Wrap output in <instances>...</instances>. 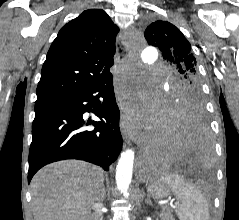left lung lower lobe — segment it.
<instances>
[{"mask_svg":"<svg viewBox=\"0 0 239 220\" xmlns=\"http://www.w3.org/2000/svg\"><path fill=\"white\" fill-rule=\"evenodd\" d=\"M164 143L147 160V168L194 164L212 156L209 129L203 110L187 112L167 108L163 118Z\"/></svg>","mask_w":239,"mask_h":220,"instance_id":"1","label":"left lung lower lobe"}]
</instances>
